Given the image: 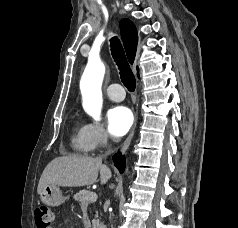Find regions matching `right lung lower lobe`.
<instances>
[{
    "instance_id": "obj_1",
    "label": "right lung lower lobe",
    "mask_w": 238,
    "mask_h": 228,
    "mask_svg": "<svg viewBox=\"0 0 238 228\" xmlns=\"http://www.w3.org/2000/svg\"><path fill=\"white\" fill-rule=\"evenodd\" d=\"M113 160L120 173H123L125 169V156H121V153H117L113 156Z\"/></svg>"
}]
</instances>
